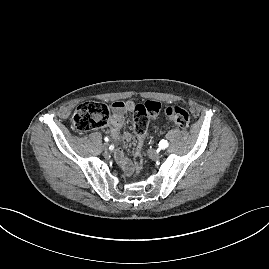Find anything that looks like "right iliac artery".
I'll return each instance as SVG.
<instances>
[{
  "label": "right iliac artery",
  "instance_id": "82829eb1",
  "mask_svg": "<svg viewBox=\"0 0 269 269\" xmlns=\"http://www.w3.org/2000/svg\"><path fill=\"white\" fill-rule=\"evenodd\" d=\"M104 140H105L106 142H108V141H109V138H108V137H105Z\"/></svg>",
  "mask_w": 269,
  "mask_h": 269
}]
</instances>
